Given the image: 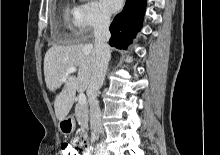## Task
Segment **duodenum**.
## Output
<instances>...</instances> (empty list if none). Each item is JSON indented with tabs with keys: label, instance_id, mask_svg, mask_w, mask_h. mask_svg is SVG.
<instances>
[{
	"label": "duodenum",
	"instance_id": "obj_1",
	"mask_svg": "<svg viewBox=\"0 0 220 155\" xmlns=\"http://www.w3.org/2000/svg\"><path fill=\"white\" fill-rule=\"evenodd\" d=\"M84 136L86 137V140L89 139V137H88L87 134H85ZM85 151H86V154H87V155H90V154H91V148H90L88 145L85 147Z\"/></svg>",
	"mask_w": 220,
	"mask_h": 155
}]
</instances>
